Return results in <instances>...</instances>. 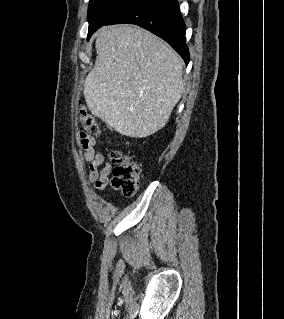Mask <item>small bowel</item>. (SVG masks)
<instances>
[{
	"label": "small bowel",
	"mask_w": 284,
	"mask_h": 319,
	"mask_svg": "<svg viewBox=\"0 0 284 319\" xmlns=\"http://www.w3.org/2000/svg\"><path fill=\"white\" fill-rule=\"evenodd\" d=\"M79 146L82 150V159L89 166L88 180L96 190H103L109 182L112 166L105 160L102 153L96 152V141L90 135L80 132Z\"/></svg>",
	"instance_id": "small-bowel-1"
}]
</instances>
